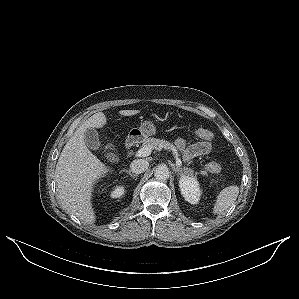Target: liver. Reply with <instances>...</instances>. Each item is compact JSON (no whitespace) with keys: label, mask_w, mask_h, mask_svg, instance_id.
<instances>
[{"label":"liver","mask_w":299,"mask_h":299,"mask_svg":"<svg viewBox=\"0 0 299 299\" xmlns=\"http://www.w3.org/2000/svg\"><path fill=\"white\" fill-rule=\"evenodd\" d=\"M139 110H121V116H133ZM106 116L102 112L93 114L76 129L64 146L55 169L58 197L62 209L81 221L92 224L95 213L92 208L94 185L112 169L105 166L87 147L84 133L87 128H102Z\"/></svg>","instance_id":"6515ba94"}]
</instances>
